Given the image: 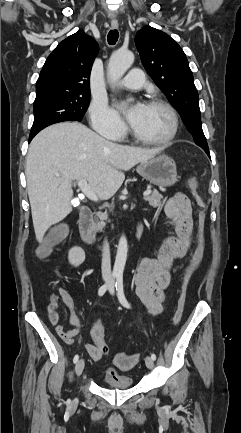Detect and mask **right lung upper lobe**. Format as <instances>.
<instances>
[{
	"label": "right lung upper lobe",
	"mask_w": 241,
	"mask_h": 433,
	"mask_svg": "<svg viewBox=\"0 0 241 433\" xmlns=\"http://www.w3.org/2000/svg\"><path fill=\"white\" fill-rule=\"evenodd\" d=\"M97 42L84 31L67 37L48 56L36 82V98L90 94L89 77Z\"/></svg>",
	"instance_id": "obj_1"
}]
</instances>
